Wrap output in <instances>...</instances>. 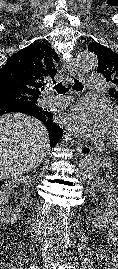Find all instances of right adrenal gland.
Wrapping results in <instances>:
<instances>
[{
    "instance_id": "right-adrenal-gland-1",
    "label": "right adrenal gland",
    "mask_w": 118,
    "mask_h": 269,
    "mask_svg": "<svg viewBox=\"0 0 118 269\" xmlns=\"http://www.w3.org/2000/svg\"><path fill=\"white\" fill-rule=\"evenodd\" d=\"M37 167H38V165L34 166L31 170H33L36 173Z\"/></svg>"
}]
</instances>
